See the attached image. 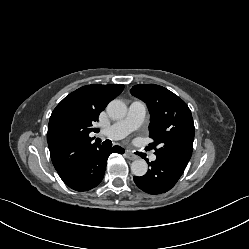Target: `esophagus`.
<instances>
[{"label":"esophagus","instance_id":"34e87169","mask_svg":"<svg viewBox=\"0 0 249 249\" xmlns=\"http://www.w3.org/2000/svg\"><path fill=\"white\" fill-rule=\"evenodd\" d=\"M125 153H126L127 158L130 159V160H136V159H138V156L135 155V154H133L129 150H126Z\"/></svg>","mask_w":249,"mask_h":249}]
</instances>
